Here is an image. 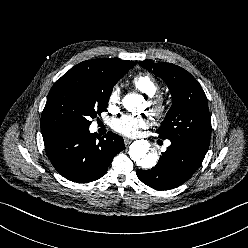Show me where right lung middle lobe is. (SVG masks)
Instances as JSON below:
<instances>
[{
    "instance_id": "1",
    "label": "right lung middle lobe",
    "mask_w": 248,
    "mask_h": 248,
    "mask_svg": "<svg viewBox=\"0 0 248 248\" xmlns=\"http://www.w3.org/2000/svg\"><path fill=\"white\" fill-rule=\"evenodd\" d=\"M119 78L97 73L63 75L50 89L41 116V130L89 128L107 107Z\"/></svg>"
}]
</instances>
